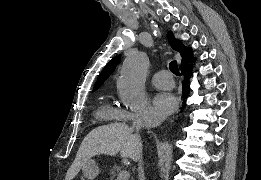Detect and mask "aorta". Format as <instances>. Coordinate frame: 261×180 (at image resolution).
<instances>
[{
  "instance_id": "aorta-1",
  "label": "aorta",
  "mask_w": 261,
  "mask_h": 180,
  "mask_svg": "<svg viewBox=\"0 0 261 180\" xmlns=\"http://www.w3.org/2000/svg\"><path fill=\"white\" fill-rule=\"evenodd\" d=\"M149 59L144 52H130L125 58L117 88L122 103L132 111L145 106V80Z\"/></svg>"
}]
</instances>
